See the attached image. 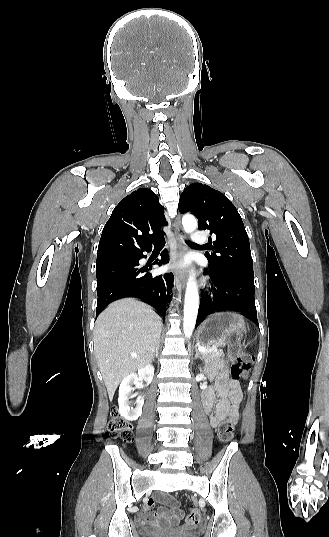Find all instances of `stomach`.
Here are the masks:
<instances>
[{"instance_id":"stomach-1","label":"stomach","mask_w":329,"mask_h":537,"mask_svg":"<svg viewBox=\"0 0 329 537\" xmlns=\"http://www.w3.org/2000/svg\"><path fill=\"white\" fill-rule=\"evenodd\" d=\"M244 318L231 312H217L210 315L197 330V342L201 345H224L232 338L246 333Z\"/></svg>"}]
</instances>
